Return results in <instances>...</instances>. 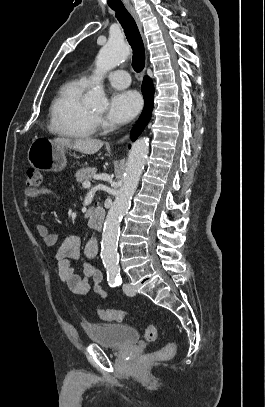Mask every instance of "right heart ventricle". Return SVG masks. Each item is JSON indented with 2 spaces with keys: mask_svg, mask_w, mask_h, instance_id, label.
Returning a JSON list of instances; mask_svg holds the SVG:
<instances>
[{
  "mask_svg": "<svg viewBox=\"0 0 265 407\" xmlns=\"http://www.w3.org/2000/svg\"><path fill=\"white\" fill-rule=\"evenodd\" d=\"M87 84L81 79L65 83L52 101L49 113V130L58 136L88 138L95 133V120L82 103Z\"/></svg>",
  "mask_w": 265,
  "mask_h": 407,
  "instance_id": "e07e8e85",
  "label": "right heart ventricle"
}]
</instances>
